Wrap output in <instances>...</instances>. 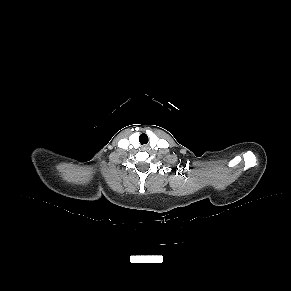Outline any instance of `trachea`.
<instances>
[{"label":"trachea","mask_w":291,"mask_h":291,"mask_svg":"<svg viewBox=\"0 0 291 291\" xmlns=\"http://www.w3.org/2000/svg\"><path fill=\"white\" fill-rule=\"evenodd\" d=\"M139 142L143 145V144H147L148 143V136L145 133H142L139 136Z\"/></svg>","instance_id":"trachea-1"}]
</instances>
